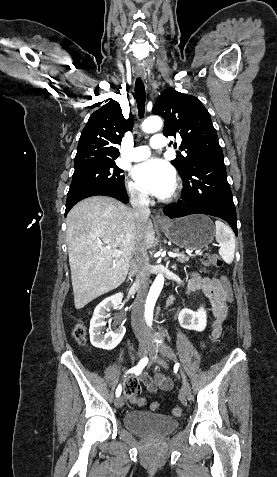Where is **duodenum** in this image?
Instances as JSON below:
<instances>
[{"instance_id":"1","label":"duodenum","mask_w":277,"mask_h":477,"mask_svg":"<svg viewBox=\"0 0 277 477\" xmlns=\"http://www.w3.org/2000/svg\"><path fill=\"white\" fill-rule=\"evenodd\" d=\"M171 303H172V299H169V300H168V304H171Z\"/></svg>"}]
</instances>
